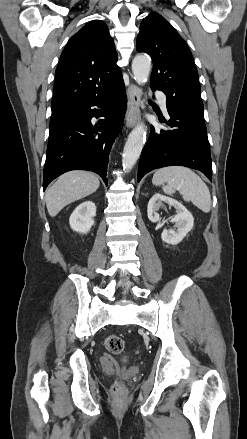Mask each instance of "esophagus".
<instances>
[{
	"instance_id": "1",
	"label": "esophagus",
	"mask_w": 247,
	"mask_h": 439,
	"mask_svg": "<svg viewBox=\"0 0 247 439\" xmlns=\"http://www.w3.org/2000/svg\"><path fill=\"white\" fill-rule=\"evenodd\" d=\"M128 111L126 115V126L132 128L140 119V106L142 105L141 91L139 87L131 83L128 91Z\"/></svg>"
}]
</instances>
